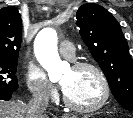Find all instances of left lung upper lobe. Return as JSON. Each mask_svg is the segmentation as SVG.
<instances>
[{
	"label": "left lung upper lobe",
	"instance_id": "obj_1",
	"mask_svg": "<svg viewBox=\"0 0 133 118\" xmlns=\"http://www.w3.org/2000/svg\"><path fill=\"white\" fill-rule=\"evenodd\" d=\"M76 25L93 58L104 72L111 92L126 110H133V60L117 20L102 6L83 4Z\"/></svg>",
	"mask_w": 133,
	"mask_h": 118
}]
</instances>
